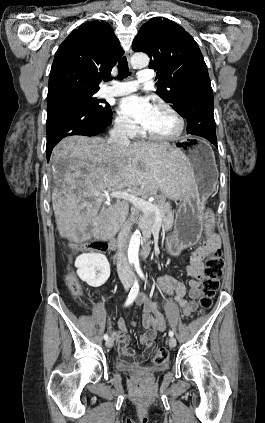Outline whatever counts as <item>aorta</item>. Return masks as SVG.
<instances>
[{"label": "aorta", "instance_id": "aorta-1", "mask_svg": "<svg viewBox=\"0 0 265 423\" xmlns=\"http://www.w3.org/2000/svg\"><path fill=\"white\" fill-rule=\"evenodd\" d=\"M131 64L133 67L137 68H143L148 66L149 64V57L144 53H135L131 57ZM140 241H141V233L140 231L136 230L129 242L128 246V260L131 264H137L139 263V247H140Z\"/></svg>", "mask_w": 265, "mask_h": 423}]
</instances>
